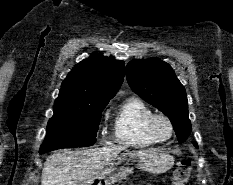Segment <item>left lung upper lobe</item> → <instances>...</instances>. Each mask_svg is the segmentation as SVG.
Returning <instances> with one entry per match:
<instances>
[{
    "mask_svg": "<svg viewBox=\"0 0 233 185\" xmlns=\"http://www.w3.org/2000/svg\"><path fill=\"white\" fill-rule=\"evenodd\" d=\"M126 77L135 93L170 119L183 143L191 133L188 102L185 88L171 66L158 58L134 59L127 64Z\"/></svg>",
    "mask_w": 233,
    "mask_h": 185,
    "instance_id": "1",
    "label": "left lung upper lobe"
}]
</instances>
